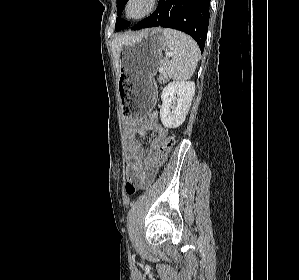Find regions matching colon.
Here are the masks:
<instances>
[{
	"label": "colon",
	"mask_w": 299,
	"mask_h": 280,
	"mask_svg": "<svg viewBox=\"0 0 299 280\" xmlns=\"http://www.w3.org/2000/svg\"><path fill=\"white\" fill-rule=\"evenodd\" d=\"M147 121H154L156 120V113L152 112L146 116ZM175 142L174 136H168L165 144L161 148V152L157 160L152 163L151 165L145 166L144 172L146 177L142 181H128L126 183V192L128 195L135 194L138 190L146 188L153 179V175L155 174L156 170L159 169L164 162L166 161L173 145Z\"/></svg>",
	"instance_id": "5ec220e1"
}]
</instances>
